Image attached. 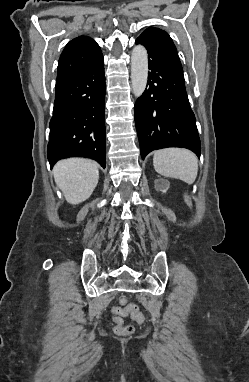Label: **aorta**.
<instances>
[{"label": "aorta", "mask_w": 249, "mask_h": 382, "mask_svg": "<svg viewBox=\"0 0 249 382\" xmlns=\"http://www.w3.org/2000/svg\"><path fill=\"white\" fill-rule=\"evenodd\" d=\"M148 56L143 45H136L131 54V82L133 94L140 97L147 85Z\"/></svg>", "instance_id": "aorta-1"}]
</instances>
